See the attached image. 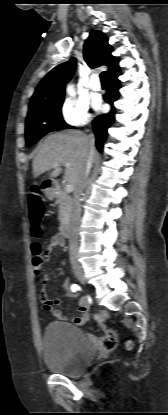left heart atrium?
Masks as SVG:
<instances>
[{"label":"left heart atrium","mask_w":168,"mask_h":415,"mask_svg":"<svg viewBox=\"0 0 168 415\" xmlns=\"http://www.w3.org/2000/svg\"><path fill=\"white\" fill-rule=\"evenodd\" d=\"M94 105H95V107H96L97 109H102V108H103V105H102V103L100 102V100L95 101Z\"/></svg>","instance_id":"left-heart-atrium-1"}]
</instances>
